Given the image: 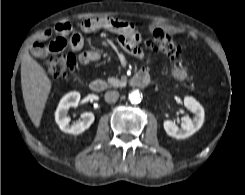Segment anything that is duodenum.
<instances>
[{
  "label": "duodenum",
  "mask_w": 245,
  "mask_h": 195,
  "mask_svg": "<svg viewBox=\"0 0 245 195\" xmlns=\"http://www.w3.org/2000/svg\"><path fill=\"white\" fill-rule=\"evenodd\" d=\"M150 83L151 79L146 71H139L130 79V85L138 88H145ZM89 88L93 92H102L107 88V84L104 80L94 79L89 82Z\"/></svg>",
  "instance_id": "410a0bca"
}]
</instances>
